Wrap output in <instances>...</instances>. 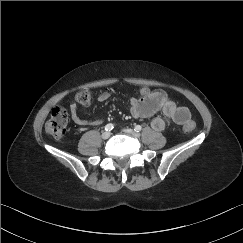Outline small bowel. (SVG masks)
<instances>
[{"label":"small bowel","mask_w":243,"mask_h":243,"mask_svg":"<svg viewBox=\"0 0 243 243\" xmlns=\"http://www.w3.org/2000/svg\"><path fill=\"white\" fill-rule=\"evenodd\" d=\"M110 97V92H103L97 97V100L98 102H105ZM129 106L132 116L137 119L148 118L159 111H161L167 119L172 120L177 125H183L191 118L189 108L177 105L174 101L169 99L164 91H150L148 88H142L139 98H130ZM70 114L72 121L79 126H97L103 122L102 117L93 121L82 119L75 103L70 105ZM151 125L154 130L162 131L166 126V119L163 117H156L152 120Z\"/></svg>","instance_id":"1"}]
</instances>
